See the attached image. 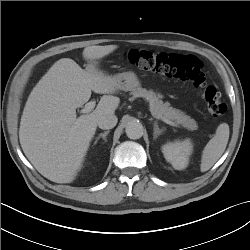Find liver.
I'll return each mask as SVG.
<instances>
[{
	"mask_svg": "<svg viewBox=\"0 0 250 250\" xmlns=\"http://www.w3.org/2000/svg\"><path fill=\"white\" fill-rule=\"evenodd\" d=\"M117 45L88 46L82 69L74 60L55 62L31 91L21 116L19 140L25 156L36 170L56 183H71L82 167L101 116L114 114L120 99L114 78L97 67V60ZM105 94L96 109L77 118L76 108L91 97Z\"/></svg>",
	"mask_w": 250,
	"mask_h": 250,
	"instance_id": "liver-1",
	"label": "liver"
}]
</instances>
